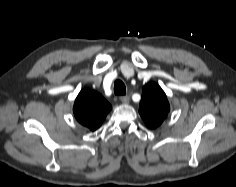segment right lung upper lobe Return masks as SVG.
<instances>
[{
  "label": "right lung upper lobe",
  "instance_id": "1",
  "mask_svg": "<svg viewBox=\"0 0 236 187\" xmlns=\"http://www.w3.org/2000/svg\"><path fill=\"white\" fill-rule=\"evenodd\" d=\"M111 108L101 94L84 89L75 100L73 112L79 123L95 131L101 126Z\"/></svg>",
  "mask_w": 236,
  "mask_h": 187
}]
</instances>
